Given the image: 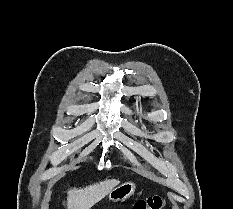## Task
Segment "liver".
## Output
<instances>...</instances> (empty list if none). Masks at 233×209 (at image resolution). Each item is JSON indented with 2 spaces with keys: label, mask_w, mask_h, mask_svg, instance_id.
Here are the masks:
<instances>
[{
  "label": "liver",
  "mask_w": 233,
  "mask_h": 209,
  "mask_svg": "<svg viewBox=\"0 0 233 209\" xmlns=\"http://www.w3.org/2000/svg\"><path fill=\"white\" fill-rule=\"evenodd\" d=\"M119 184V180L106 179L85 188H72L67 192V209H91Z\"/></svg>",
  "instance_id": "obj_1"
}]
</instances>
